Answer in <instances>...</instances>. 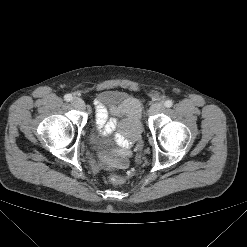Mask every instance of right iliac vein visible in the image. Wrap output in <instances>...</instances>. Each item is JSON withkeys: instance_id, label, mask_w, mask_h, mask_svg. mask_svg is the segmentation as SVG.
I'll list each match as a JSON object with an SVG mask.
<instances>
[{"instance_id": "1", "label": "right iliac vein", "mask_w": 247, "mask_h": 247, "mask_svg": "<svg viewBox=\"0 0 247 247\" xmlns=\"http://www.w3.org/2000/svg\"><path fill=\"white\" fill-rule=\"evenodd\" d=\"M72 105L78 109H84L85 103L81 98L74 97L71 101Z\"/></svg>"}]
</instances>
